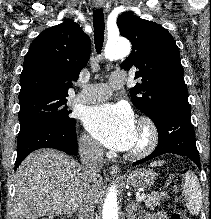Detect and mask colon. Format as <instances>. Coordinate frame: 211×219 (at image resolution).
<instances>
[{
    "mask_svg": "<svg viewBox=\"0 0 211 219\" xmlns=\"http://www.w3.org/2000/svg\"><path fill=\"white\" fill-rule=\"evenodd\" d=\"M183 184V178L181 175H174L171 178V185L176 188L179 189ZM42 219H71V218H67L65 216H60V215H54V216H48V217H44ZM171 219H189L186 211L184 209V207L182 206H177L176 209L174 210V212L171 215Z\"/></svg>",
    "mask_w": 211,
    "mask_h": 219,
    "instance_id": "1",
    "label": "colon"
}]
</instances>
